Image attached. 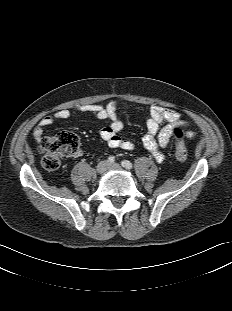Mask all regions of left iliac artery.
I'll list each match as a JSON object with an SVG mask.
<instances>
[{
  "label": "left iliac artery",
  "instance_id": "1",
  "mask_svg": "<svg viewBox=\"0 0 232 311\" xmlns=\"http://www.w3.org/2000/svg\"><path fill=\"white\" fill-rule=\"evenodd\" d=\"M121 165L126 168V169H131L132 168V163L128 160H124L121 162Z\"/></svg>",
  "mask_w": 232,
  "mask_h": 311
}]
</instances>
